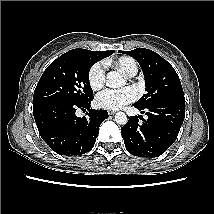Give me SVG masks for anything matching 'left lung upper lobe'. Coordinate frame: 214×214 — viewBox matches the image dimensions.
I'll return each mask as SVG.
<instances>
[{"label": "left lung upper lobe", "instance_id": "obj_1", "mask_svg": "<svg viewBox=\"0 0 214 214\" xmlns=\"http://www.w3.org/2000/svg\"><path fill=\"white\" fill-rule=\"evenodd\" d=\"M119 52L136 59L145 76L147 93L133 104L134 106L145 108L161 102L185 103L180 79L171 64L164 58L145 48Z\"/></svg>", "mask_w": 214, "mask_h": 214}]
</instances>
